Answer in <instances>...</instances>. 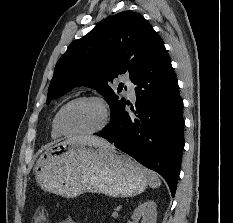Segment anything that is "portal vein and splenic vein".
<instances>
[{
	"label": "portal vein and splenic vein",
	"instance_id": "portal-vein-and-splenic-vein-1",
	"mask_svg": "<svg viewBox=\"0 0 233 223\" xmlns=\"http://www.w3.org/2000/svg\"><path fill=\"white\" fill-rule=\"evenodd\" d=\"M112 215L113 217H118V211H113Z\"/></svg>",
	"mask_w": 233,
	"mask_h": 223
}]
</instances>
